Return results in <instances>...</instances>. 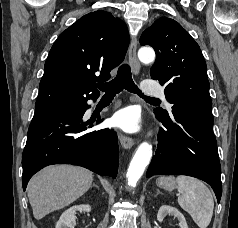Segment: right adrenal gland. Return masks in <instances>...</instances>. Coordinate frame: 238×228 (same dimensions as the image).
I'll list each match as a JSON object with an SVG mask.
<instances>
[{"mask_svg":"<svg viewBox=\"0 0 238 228\" xmlns=\"http://www.w3.org/2000/svg\"><path fill=\"white\" fill-rule=\"evenodd\" d=\"M93 186H95V187H97V188H99L95 183H93Z\"/></svg>","mask_w":238,"mask_h":228,"instance_id":"obj_1","label":"right adrenal gland"}]
</instances>
